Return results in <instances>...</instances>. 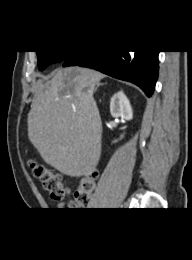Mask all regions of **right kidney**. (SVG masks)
Segmentation results:
<instances>
[{
	"label": "right kidney",
	"instance_id": "ca27d5eb",
	"mask_svg": "<svg viewBox=\"0 0 192 260\" xmlns=\"http://www.w3.org/2000/svg\"><path fill=\"white\" fill-rule=\"evenodd\" d=\"M110 113L115 118L121 117L125 120H131L133 118L130 102L122 91L116 93L111 98Z\"/></svg>",
	"mask_w": 192,
	"mask_h": 260
}]
</instances>
